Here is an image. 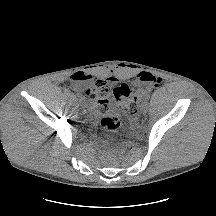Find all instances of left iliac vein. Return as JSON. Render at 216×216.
Returning <instances> with one entry per match:
<instances>
[{"mask_svg":"<svg viewBox=\"0 0 216 216\" xmlns=\"http://www.w3.org/2000/svg\"><path fill=\"white\" fill-rule=\"evenodd\" d=\"M148 109V106L147 105H143L142 108H141V111L142 112H146Z\"/></svg>","mask_w":216,"mask_h":216,"instance_id":"1","label":"left iliac vein"}]
</instances>
